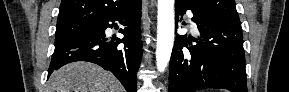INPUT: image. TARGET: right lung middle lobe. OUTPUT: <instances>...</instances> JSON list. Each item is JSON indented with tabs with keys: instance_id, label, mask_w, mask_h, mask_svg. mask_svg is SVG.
I'll use <instances>...</instances> for the list:
<instances>
[{
	"instance_id": "1",
	"label": "right lung middle lobe",
	"mask_w": 289,
	"mask_h": 92,
	"mask_svg": "<svg viewBox=\"0 0 289 92\" xmlns=\"http://www.w3.org/2000/svg\"><path fill=\"white\" fill-rule=\"evenodd\" d=\"M95 22H72L56 26L55 44L68 38L84 34L94 28Z\"/></svg>"
}]
</instances>
